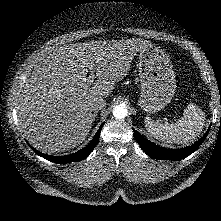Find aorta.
Segmentation results:
<instances>
[{
  "label": "aorta",
  "mask_w": 221,
  "mask_h": 221,
  "mask_svg": "<svg viewBox=\"0 0 221 221\" xmlns=\"http://www.w3.org/2000/svg\"><path fill=\"white\" fill-rule=\"evenodd\" d=\"M113 116L117 119H122L127 116V109L125 105H116L113 109Z\"/></svg>",
  "instance_id": "aorta-1"
}]
</instances>
